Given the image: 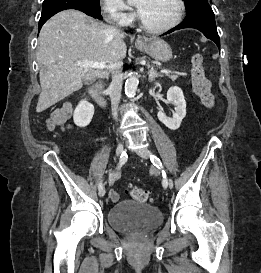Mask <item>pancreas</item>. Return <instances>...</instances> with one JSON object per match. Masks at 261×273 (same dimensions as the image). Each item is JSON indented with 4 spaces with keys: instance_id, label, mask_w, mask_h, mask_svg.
<instances>
[{
    "instance_id": "1",
    "label": "pancreas",
    "mask_w": 261,
    "mask_h": 273,
    "mask_svg": "<svg viewBox=\"0 0 261 273\" xmlns=\"http://www.w3.org/2000/svg\"><path fill=\"white\" fill-rule=\"evenodd\" d=\"M166 75H167L172 81H175V80L178 78V75H177V74L170 75V74L166 73Z\"/></svg>"
}]
</instances>
